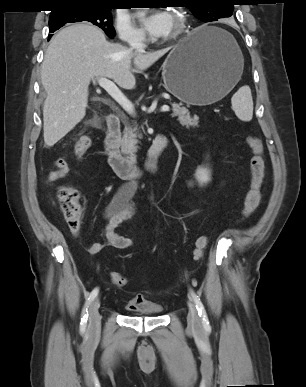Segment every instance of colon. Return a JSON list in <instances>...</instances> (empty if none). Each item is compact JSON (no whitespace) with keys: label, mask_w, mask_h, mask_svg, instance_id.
<instances>
[{"label":"colon","mask_w":306,"mask_h":387,"mask_svg":"<svg viewBox=\"0 0 306 387\" xmlns=\"http://www.w3.org/2000/svg\"><path fill=\"white\" fill-rule=\"evenodd\" d=\"M247 144L252 151L250 159L251 184L245 197L242 219L249 218L257 209L261 199V187L265 178L264 148L261 140L255 136L247 138ZM92 139L89 136H82L74 146V153L77 157H82L91 147ZM57 199L60 210L73 233H77L82 224V209L79 202L78 191L70 186H61L57 191ZM207 236H201L196 240L194 258L199 261L208 246ZM110 281L119 286H126L128 279L118 273L109 274Z\"/></svg>","instance_id":"5ec220e1"}]
</instances>
